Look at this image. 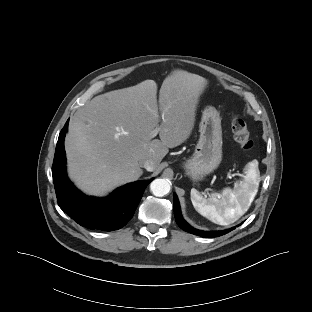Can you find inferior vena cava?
I'll use <instances>...</instances> for the list:
<instances>
[{"instance_id": "1", "label": "inferior vena cava", "mask_w": 312, "mask_h": 312, "mask_svg": "<svg viewBox=\"0 0 312 312\" xmlns=\"http://www.w3.org/2000/svg\"><path fill=\"white\" fill-rule=\"evenodd\" d=\"M140 165L147 171H153L156 169V163L152 159L141 160Z\"/></svg>"}]
</instances>
